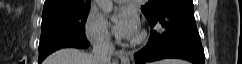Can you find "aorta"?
Masks as SVG:
<instances>
[{"label":"aorta","mask_w":242,"mask_h":64,"mask_svg":"<svg viewBox=\"0 0 242 64\" xmlns=\"http://www.w3.org/2000/svg\"><path fill=\"white\" fill-rule=\"evenodd\" d=\"M98 7L105 14H109L113 9L112 0H96Z\"/></svg>","instance_id":"obj_1"}]
</instances>
